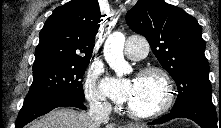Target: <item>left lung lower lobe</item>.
<instances>
[{
    "label": "left lung lower lobe",
    "instance_id": "1",
    "mask_svg": "<svg viewBox=\"0 0 221 128\" xmlns=\"http://www.w3.org/2000/svg\"><path fill=\"white\" fill-rule=\"evenodd\" d=\"M179 117L191 119L202 128H221V115L218 116L213 104L203 102L190 103L180 109L171 111L150 124H162Z\"/></svg>",
    "mask_w": 221,
    "mask_h": 128
}]
</instances>
